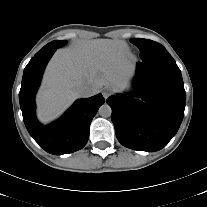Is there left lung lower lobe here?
I'll return each instance as SVG.
<instances>
[{
    "instance_id": "1",
    "label": "left lung lower lobe",
    "mask_w": 207,
    "mask_h": 207,
    "mask_svg": "<svg viewBox=\"0 0 207 207\" xmlns=\"http://www.w3.org/2000/svg\"><path fill=\"white\" fill-rule=\"evenodd\" d=\"M136 93L110 96L111 119L119 142L154 152L175 136L184 116L186 94L181 71L170 57L137 63ZM145 96V103L136 99Z\"/></svg>"
}]
</instances>
